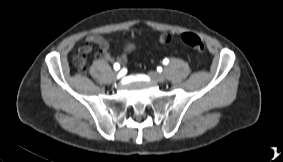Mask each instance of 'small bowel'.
Returning <instances> with one entry per match:
<instances>
[{"mask_svg":"<svg viewBox=\"0 0 283 162\" xmlns=\"http://www.w3.org/2000/svg\"><path fill=\"white\" fill-rule=\"evenodd\" d=\"M93 45L99 47V51L97 53V59L99 61H112L113 57L109 51V40L98 34L88 35L79 47L78 54H81L86 57V55L91 52ZM124 60L125 56L121 58V61Z\"/></svg>","mask_w":283,"mask_h":162,"instance_id":"obj_1","label":"small bowel"}]
</instances>
